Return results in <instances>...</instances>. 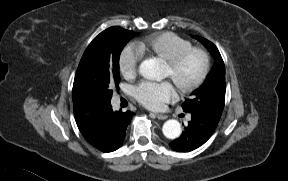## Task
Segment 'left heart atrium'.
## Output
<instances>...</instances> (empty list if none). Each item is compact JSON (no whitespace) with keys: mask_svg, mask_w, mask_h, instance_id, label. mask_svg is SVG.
Here are the masks:
<instances>
[{"mask_svg":"<svg viewBox=\"0 0 288 181\" xmlns=\"http://www.w3.org/2000/svg\"><path fill=\"white\" fill-rule=\"evenodd\" d=\"M136 100L143 106L159 110L176 98V90L169 81H143L133 89Z\"/></svg>","mask_w":288,"mask_h":181,"instance_id":"left-heart-atrium-1","label":"left heart atrium"}]
</instances>
